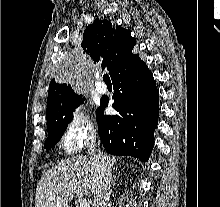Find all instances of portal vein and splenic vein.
<instances>
[{"instance_id":"1","label":"portal vein and splenic vein","mask_w":220,"mask_h":207,"mask_svg":"<svg viewBox=\"0 0 220 207\" xmlns=\"http://www.w3.org/2000/svg\"><path fill=\"white\" fill-rule=\"evenodd\" d=\"M79 207H90V201L87 199H82L80 201Z\"/></svg>"}]
</instances>
